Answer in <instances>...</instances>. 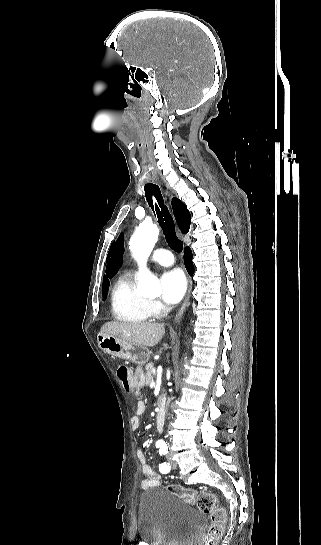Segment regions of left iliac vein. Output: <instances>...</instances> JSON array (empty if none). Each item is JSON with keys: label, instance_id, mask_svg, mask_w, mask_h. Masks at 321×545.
<instances>
[{"label": "left iliac vein", "instance_id": "4c4485c4", "mask_svg": "<svg viewBox=\"0 0 321 545\" xmlns=\"http://www.w3.org/2000/svg\"><path fill=\"white\" fill-rule=\"evenodd\" d=\"M167 460H168V462H169L171 468H173V469L176 468L177 464H176V462L173 460L171 454H168V455H167Z\"/></svg>", "mask_w": 321, "mask_h": 545}]
</instances>
